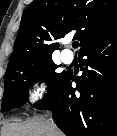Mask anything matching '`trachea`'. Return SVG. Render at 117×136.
Here are the masks:
<instances>
[{"mask_svg":"<svg viewBox=\"0 0 117 136\" xmlns=\"http://www.w3.org/2000/svg\"><path fill=\"white\" fill-rule=\"evenodd\" d=\"M72 47H73V48H78V42H77V41H74V42L72 43Z\"/></svg>","mask_w":117,"mask_h":136,"instance_id":"3493384b","label":"trachea"}]
</instances>
